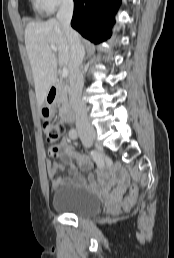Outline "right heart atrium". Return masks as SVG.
I'll return each mask as SVG.
<instances>
[{
  "instance_id": "right-heart-atrium-1",
  "label": "right heart atrium",
  "mask_w": 174,
  "mask_h": 258,
  "mask_svg": "<svg viewBox=\"0 0 174 258\" xmlns=\"http://www.w3.org/2000/svg\"><path fill=\"white\" fill-rule=\"evenodd\" d=\"M71 1L72 0H39V3L45 12L53 13L56 9Z\"/></svg>"
}]
</instances>
